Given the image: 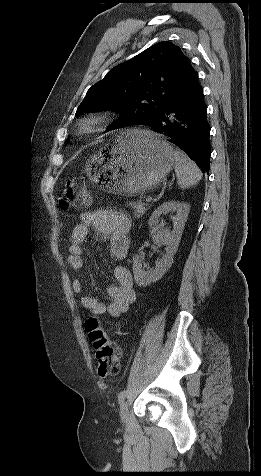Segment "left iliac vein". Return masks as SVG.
I'll use <instances>...</instances> for the list:
<instances>
[{"mask_svg": "<svg viewBox=\"0 0 261 476\" xmlns=\"http://www.w3.org/2000/svg\"><path fill=\"white\" fill-rule=\"evenodd\" d=\"M120 417L123 422H126L128 419V404L125 400L120 404Z\"/></svg>", "mask_w": 261, "mask_h": 476, "instance_id": "left-iliac-vein-1", "label": "left iliac vein"}]
</instances>
